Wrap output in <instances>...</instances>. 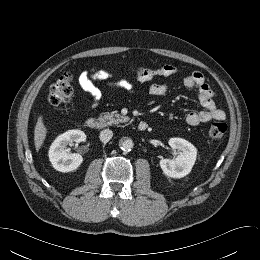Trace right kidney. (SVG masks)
<instances>
[{
  "instance_id": "right-kidney-1",
  "label": "right kidney",
  "mask_w": 260,
  "mask_h": 260,
  "mask_svg": "<svg viewBox=\"0 0 260 260\" xmlns=\"http://www.w3.org/2000/svg\"><path fill=\"white\" fill-rule=\"evenodd\" d=\"M86 140V135L81 130H69L59 135L49 149V160L54 169L60 172L76 170L83 162V157L78 153H69L68 145Z\"/></svg>"
}]
</instances>
